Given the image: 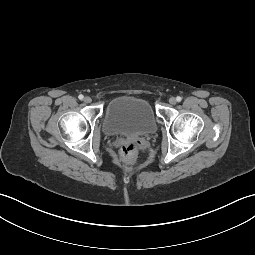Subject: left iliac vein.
<instances>
[{
	"mask_svg": "<svg viewBox=\"0 0 255 255\" xmlns=\"http://www.w3.org/2000/svg\"><path fill=\"white\" fill-rule=\"evenodd\" d=\"M176 98H174V97H171L170 99H169V103L170 104H172V105H174V104H176Z\"/></svg>",
	"mask_w": 255,
	"mask_h": 255,
	"instance_id": "4c4485c4",
	"label": "left iliac vein"
}]
</instances>
